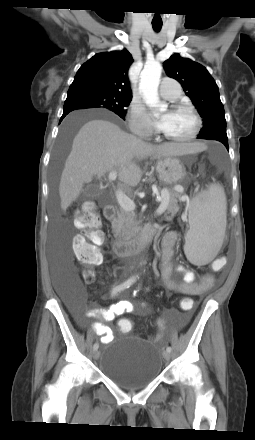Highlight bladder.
<instances>
[{"label": "bladder", "instance_id": "1", "mask_svg": "<svg viewBox=\"0 0 255 440\" xmlns=\"http://www.w3.org/2000/svg\"><path fill=\"white\" fill-rule=\"evenodd\" d=\"M105 345L101 372L120 389L142 390L160 375L162 354L152 343L138 337H123Z\"/></svg>", "mask_w": 255, "mask_h": 440}]
</instances>
